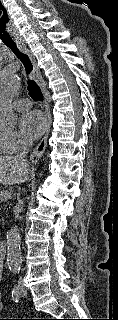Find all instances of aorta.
I'll return each mask as SVG.
<instances>
[{"mask_svg": "<svg viewBox=\"0 0 118 320\" xmlns=\"http://www.w3.org/2000/svg\"><path fill=\"white\" fill-rule=\"evenodd\" d=\"M20 85L17 74H4L0 76V129H11L15 124V113L11 107ZM7 238V263L10 271L18 273L21 268V238L16 228H11Z\"/></svg>", "mask_w": 118, "mask_h": 320, "instance_id": "1", "label": "aorta"}]
</instances>
